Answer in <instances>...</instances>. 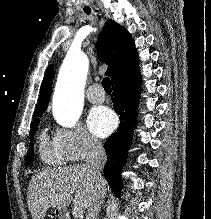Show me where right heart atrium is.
<instances>
[{
	"instance_id": "1",
	"label": "right heart atrium",
	"mask_w": 211,
	"mask_h": 219,
	"mask_svg": "<svg viewBox=\"0 0 211 219\" xmlns=\"http://www.w3.org/2000/svg\"><path fill=\"white\" fill-rule=\"evenodd\" d=\"M54 141L66 159L71 162L95 156L103 149L101 142L80 125L57 129Z\"/></svg>"
}]
</instances>
